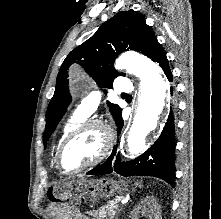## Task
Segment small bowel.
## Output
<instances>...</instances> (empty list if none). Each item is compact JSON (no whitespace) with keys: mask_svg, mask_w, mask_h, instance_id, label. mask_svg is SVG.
Listing matches in <instances>:
<instances>
[{"mask_svg":"<svg viewBox=\"0 0 221 219\" xmlns=\"http://www.w3.org/2000/svg\"><path fill=\"white\" fill-rule=\"evenodd\" d=\"M60 219H90L76 208L60 209Z\"/></svg>","mask_w":221,"mask_h":219,"instance_id":"small-bowel-1","label":"small bowel"}]
</instances>
